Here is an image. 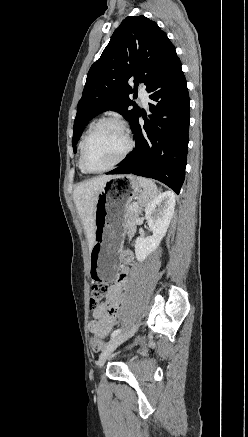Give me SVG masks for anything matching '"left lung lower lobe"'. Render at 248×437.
I'll return each mask as SVG.
<instances>
[{"mask_svg": "<svg viewBox=\"0 0 248 437\" xmlns=\"http://www.w3.org/2000/svg\"><path fill=\"white\" fill-rule=\"evenodd\" d=\"M151 115H137L132 133L133 152L107 174H135L159 180L179 194L185 177L189 131V95L177 57L148 88Z\"/></svg>", "mask_w": 248, "mask_h": 437, "instance_id": "obj_1", "label": "left lung lower lobe"}]
</instances>
